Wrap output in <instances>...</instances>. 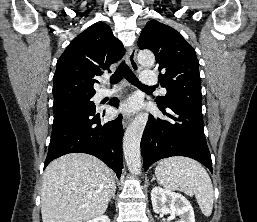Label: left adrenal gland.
Instances as JSON below:
<instances>
[{
    "mask_svg": "<svg viewBox=\"0 0 257 222\" xmlns=\"http://www.w3.org/2000/svg\"><path fill=\"white\" fill-rule=\"evenodd\" d=\"M154 180H156V178H155V176L153 175V176H152V180H151V181H154Z\"/></svg>",
    "mask_w": 257,
    "mask_h": 222,
    "instance_id": "a2214340",
    "label": "left adrenal gland"
}]
</instances>
